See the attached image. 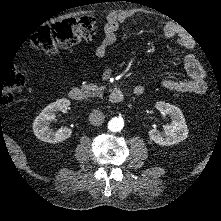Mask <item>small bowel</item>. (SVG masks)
<instances>
[{
	"mask_svg": "<svg viewBox=\"0 0 221 221\" xmlns=\"http://www.w3.org/2000/svg\"><path fill=\"white\" fill-rule=\"evenodd\" d=\"M135 15L132 11L111 12L107 16V23L104 27V37L97 45L95 54L97 57H105L110 50V47L117 40V31L121 23ZM167 37L173 38L176 36V31L167 27L165 29ZM180 47L187 52L183 59V65L189 75V79H164L162 86L170 91L183 93L203 94L206 89L205 71L196 58L189 52L192 50V42L189 39L182 38L179 40ZM163 69V66L159 67Z\"/></svg>",
	"mask_w": 221,
	"mask_h": 221,
	"instance_id": "small-bowel-1",
	"label": "small bowel"
}]
</instances>
